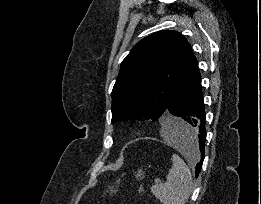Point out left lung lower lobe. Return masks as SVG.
Wrapping results in <instances>:
<instances>
[{
	"label": "left lung lower lobe",
	"mask_w": 261,
	"mask_h": 204,
	"mask_svg": "<svg viewBox=\"0 0 261 204\" xmlns=\"http://www.w3.org/2000/svg\"><path fill=\"white\" fill-rule=\"evenodd\" d=\"M170 114L180 117L183 121V123L170 125V130L174 137L184 143L192 142L194 138L197 142L201 152V159L197 163L195 170L197 177L204 160L206 115L202 95L201 75L196 58H194L190 68L168 103L166 118L171 117ZM187 151L192 154L195 153L193 147H188Z\"/></svg>",
	"instance_id": "0a47b994"
}]
</instances>
